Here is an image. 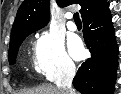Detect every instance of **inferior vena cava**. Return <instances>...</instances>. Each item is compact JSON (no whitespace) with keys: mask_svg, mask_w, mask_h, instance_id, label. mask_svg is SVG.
Segmentation results:
<instances>
[{"mask_svg":"<svg viewBox=\"0 0 121 94\" xmlns=\"http://www.w3.org/2000/svg\"><path fill=\"white\" fill-rule=\"evenodd\" d=\"M64 74V78L58 85V88L61 89L62 94H75V91L72 88V81L76 74V67L72 62L66 64Z\"/></svg>","mask_w":121,"mask_h":94,"instance_id":"1","label":"inferior vena cava"}]
</instances>
